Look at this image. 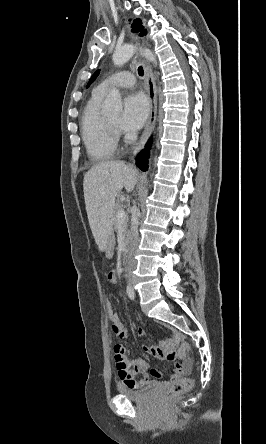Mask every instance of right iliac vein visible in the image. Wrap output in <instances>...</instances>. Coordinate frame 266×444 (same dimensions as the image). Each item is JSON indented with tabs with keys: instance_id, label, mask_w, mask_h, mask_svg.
Returning <instances> with one entry per match:
<instances>
[{
	"instance_id": "1",
	"label": "right iliac vein",
	"mask_w": 266,
	"mask_h": 444,
	"mask_svg": "<svg viewBox=\"0 0 266 444\" xmlns=\"http://www.w3.org/2000/svg\"><path fill=\"white\" fill-rule=\"evenodd\" d=\"M128 282H129V284H130V285H132V284H133V281H132V280H129Z\"/></svg>"
}]
</instances>
